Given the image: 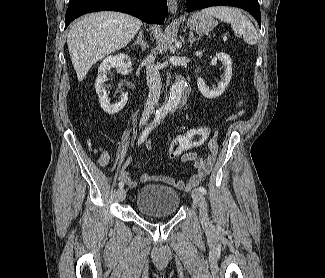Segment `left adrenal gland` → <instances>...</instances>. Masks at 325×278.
<instances>
[{
  "mask_svg": "<svg viewBox=\"0 0 325 278\" xmlns=\"http://www.w3.org/2000/svg\"><path fill=\"white\" fill-rule=\"evenodd\" d=\"M197 40H199V38L194 37L193 32H189V39H188V41H189L190 45H192Z\"/></svg>",
  "mask_w": 325,
  "mask_h": 278,
  "instance_id": "a2214340",
  "label": "left adrenal gland"
}]
</instances>
